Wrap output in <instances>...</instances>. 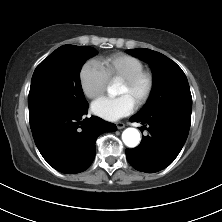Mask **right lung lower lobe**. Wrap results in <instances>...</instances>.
Wrapping results in <instances>:
<instances>
[{"label": "right lung lower lobe", "mask_w": 222, "mask_h": 222, "mask_svg": "<svg viewBox=\"0 0 222 222\" xmlns=\"http://www.w3.org/2000/svg\"><path fill=\"white\" fill-rule=\"evenodd\" d=\"M87 108L44 111L29 117L38 150L49 165L62 173L85 171L95 158L98 136L117 129L115 124L99 117L82 119Z\"/></svg>", "instance_id": "1"}]
</instances>
